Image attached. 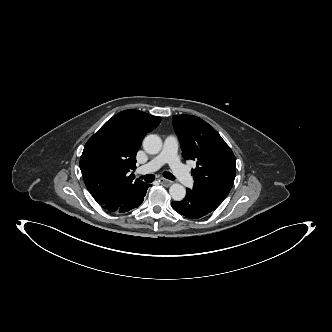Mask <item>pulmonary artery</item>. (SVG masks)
I'll return each instance as SVG.
<instances>
[{
  "label": "pulmonary artery",
  "instance_id": "pulmonary-artery-1",
  "mask_svg": "<svg viewBox=\"0 0 332 332\" xmlns=\"http://www.w3.org/2000/svg\"><path fill=\"white\" fill-rule=\"evenodd\" d=\"M178 140L175 136H167L164 140L162 151L152 158L147 164L139 168L140 173L154 172L168 163L171 170L179 181L185 186H190L193 183L192 177L185 166L177 157Z\"/></svg>",
  "mask_w": 332,
  "mask_h": 332
}]
</instances>
